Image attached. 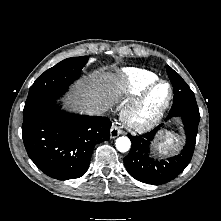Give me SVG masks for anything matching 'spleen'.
<instances>
[{
    "label": "spleen",
    "instance_id": "spleen-1",
    "mask_svg": "<svg viewBox=\"0 0 221 221\" xmlns=\"http://www.w3.org/2000/svg\"><path fill=\"white\" fill-rule=\"evenodd\" d=\"M159 138L160 142L157 147L161 153L175 150L179 146V138L171 132H167L165 135L161 134Z\"/></svg>",
    "mask_w": 221,
    "mask_h": 221
}]
</instances>
